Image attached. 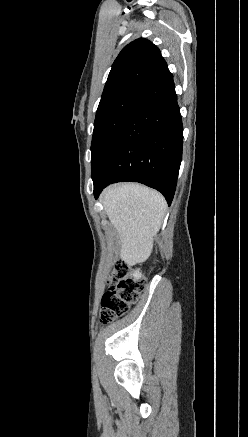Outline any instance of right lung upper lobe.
I'll return each instance as SVG.
<instances>
[{"label": "right lung upper lobe", "mask_w": 248, "mask_h": 437, "mask_svg": "<svg viewBox=\"0 0 248 437\" xmlns=\"http://www.w3.org/2000/svg\"><path fill=\"white\" fill-rule=\"evenodd\" d=\"M166 68L157 46L144 38L132 41L114 61L99 105L126 92H141Z\"/></svg>", "instance_id": "1"}]
</instances>
